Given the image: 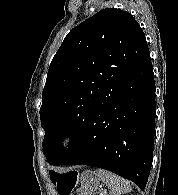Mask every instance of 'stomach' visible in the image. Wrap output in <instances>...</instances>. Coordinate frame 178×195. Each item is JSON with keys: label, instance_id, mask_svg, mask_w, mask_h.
Here are the masks:
<instances>
[{"label": "stomach", "instance_id": "obj_1", "mask_svg": "<svg viewBox=\"0 0 178 195\" xmlns=\"http://www.w3.org/2000/svg\"><path fill=\"white\" fill-rule=\"evenodd\" d=\"M80 183L79 195H95L100 189V179L95 172L87 170L79 177Z\"/></svg>", "mask_w": 178, "mask_h": 195}]
</instances>
